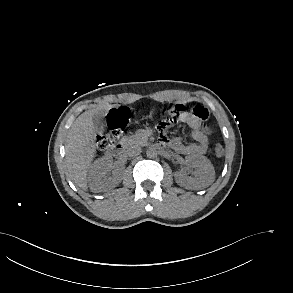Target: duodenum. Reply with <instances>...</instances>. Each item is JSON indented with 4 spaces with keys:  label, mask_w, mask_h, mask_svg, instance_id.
Masks as SVG:
<instances>
[{
    "label": "duodenum",
    "mask_w": 293,
    "mask_h": 293,
    "mask_svg": "<svg viewBox=\"0 0 293 293\" xmlns=\"http://www.w3.org/2000/svg\"><path fill=\"white\" fill-rule=\"evenodd\" d=\"M126 147H127L126 140L121 139L108 151V155H110V156L122 155V154H124Z\"/></svg>",
    "instance_id": "410a0bca"
}]
</instances>
